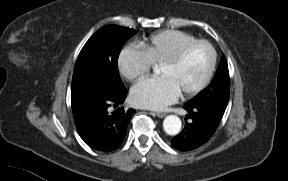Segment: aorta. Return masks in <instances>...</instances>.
<instances>
[{
    "mask_svg": "<svg viewBox=\"0 0 288 181\" xmlns=\"http://www.w3.org/2000/svg\"><path fill=\"white\" fill-rule=\"evenodd\" d=\"M181 126V119L176 115H168L163 121V129L168 135H177Z\"/></svg>",
    "mask_w": 288,
    "mask_h": 181,
    "instance_id": "762f6f07",
    "label": "aorta"
}]
</instances>
